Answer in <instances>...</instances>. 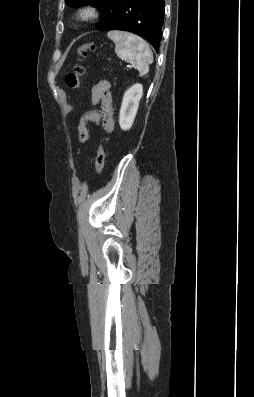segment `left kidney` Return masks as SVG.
I'll return each mask as SVG.
<instances>
[{
  "label": "left kidney",
  "instance_id": "1",
  "mask_svg": "<svg viewBox=\"0 0 254 397\" xmlns=\"http://www.w3.org/2000/svg\"><path fill=\"white\" fill-rule=\"evenodd\" d=\"M142 95L143 86L139 83L124 93L119 113V125L122 130L127 131L132 127Z\"/></svg>",
  "mask_w": 254,
  "mask_h": 397
}]
</instances>
